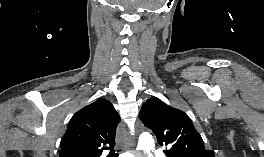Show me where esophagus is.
Listing matches in <instances>:
<instances>
[{
	"label": "esophagus",
	"mask_w": 264,
	"mask_h": 157,
	"mask_svg": "<svg viewBox=\"0 0 264 157\" xmlns=\"http://www.w3.org/2000/svg\"><path fill=\"white\" fill-rule=\"evenodd\" d=\"M126 145L127 148L132 151L133 153L137 154V149H136V140L135 137L130 135L129 133L126 134Z\"/></svg>",
	"instance_id": "1"
}]
</instances>
